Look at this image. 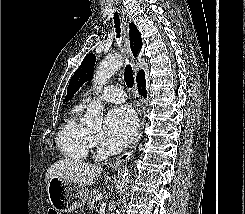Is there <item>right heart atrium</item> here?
I'll list each match as a JSON object with an SVG mask.
<instances>
[{
    "label": "right heart atrium",
    "mask_w": 245,
    "mask_h": 214,
    "mask_svg": "<svg viewBox=\"0 0 245 214\" xmlns=\"http://www.w3.org/2000/svg\"><path fill=\"white\" fill-rule=\"evenodd\" d=\"M90 144L93 145V146L95 145L94 139H90Z\"/></svg>",
    "instance_id": "1"
}]
</instances>
